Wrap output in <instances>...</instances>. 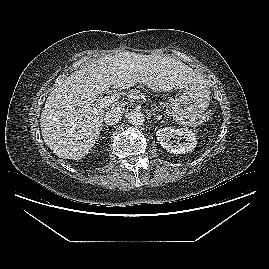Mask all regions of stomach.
Listing matches in <instances>:
<instances>
[{"label": "stomach", "instance_id": "obj_1", "mask_svg": "<svg viewBox=\"0 0 269 269\" xmlns=\"http://www.w3.org/2000/svg\"><path fill=\"white\" fill-rule=\"evenodd\" d=\"M178 89V96L171 102L172 112L189 124H198L210 102L208 89L204 84L181 86Z\"/></svg>", "mask_w": 269, "mask_h": 269}]
</instances>
